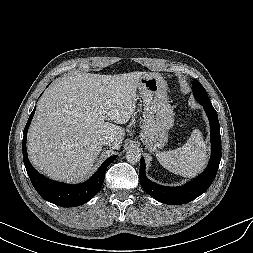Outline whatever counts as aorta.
I'll return each instance as SVG.
<instances>
[{"label": "aorta", "instance_id": "762f6f07", "mask_svg": "<svg viewBox=\"0 0 253 253\" xmlns=\"http://www.w3.org/2000/svg\"><path fill=\"white\" fill-rule=\"evenodd\" d=\"M126 159L129 163L135 164L141 159V152L137 148H131L126 152Z\"/></svg>", "mask_w": 253, "mask_h": 253}]
</instances>
